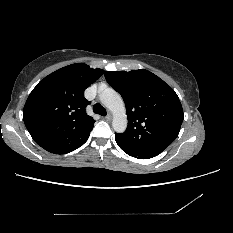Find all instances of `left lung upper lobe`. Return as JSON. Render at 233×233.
<instances>
[{
    "label": "left lung upper lobe",
    "mask_w": 233,
    "mask_h": 233,
    "mask_svg": "<svg viewBox=\"0 0 233 233\" xmlns=\"http://www.w3.org/2000/svg\"><path fill=\"white\" fill-rule=\"evenodd\" d=\"M105 78L126 105L128 127L115 137L137 153L160 154L177 138L184 117L175 91L145 69L106 71Z\"/></svg>",
    "instance_id": "5c2ea615"
}]
</instances>
